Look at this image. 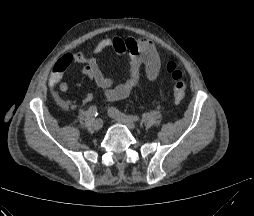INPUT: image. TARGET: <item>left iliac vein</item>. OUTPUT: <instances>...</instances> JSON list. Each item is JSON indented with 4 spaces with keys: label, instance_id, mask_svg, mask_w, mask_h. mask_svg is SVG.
Returning <instances> with one entry per match:
<instances>
[{
    "label": "left iliac vein",
    "instance_id": "1",
    "mask_svg": "<svg viewBox=\"0 0 254 216\" xmlns=\"http://www.w3.org/2000/svg\"><path fill=\"white\" fill-rule=\"evenodd\" d=\"M109 115L117 122L124 124L126 126H128L130 129H134L135 128V124L133 123L132 120L126 119V118H121V117H117L115 116L113 113H111L109 111Z\"/></svg>",
    "mask_w": 254,
    "mask_h": 216
}]
</instances>
